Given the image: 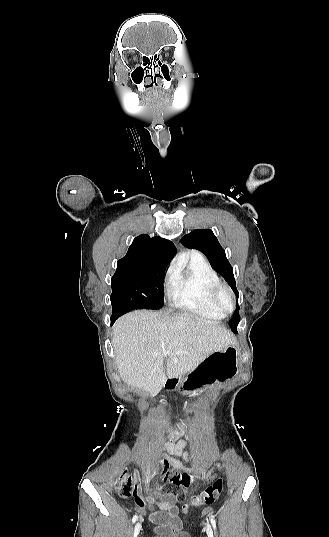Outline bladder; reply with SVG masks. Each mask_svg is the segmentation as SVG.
<instances>
[{
	"instance_id": "obj_1",
	"label": "bladder",
	"mask_w": 329,
	"mask_h": 537,
	"mask_svg": "<svg viewBox=\"0 0 329 537\" xmlns=\"http://www.w3.org/2000/svg\"><path fill=\"white\" fill-rule=\"evenodd\" d=\"M153 537H192L187 531L157 530Z\"/></svg>"
}]
</instances>
